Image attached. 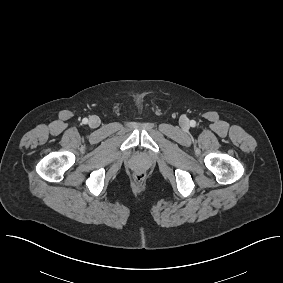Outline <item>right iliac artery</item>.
<instances>
[{
  "label": "right iliac artery",
  "instance_id": "82829eb1",
  "mask_svg": "<svg viewBox=\"0 0 283 283\" xmlns=\"http://www.w3.org/2000/svg\"><path fill=\"white\" fill-rule=\"evenodd\" d=\"M82 122H83V124H87V123H88V119H87V118H84V119L82 120Z\"/></svg>",
  "mask_w": 283,
  "mask_h": 283
}]
</instances>
